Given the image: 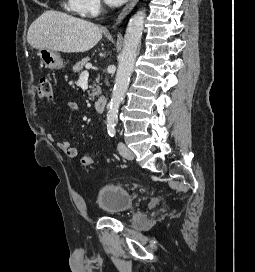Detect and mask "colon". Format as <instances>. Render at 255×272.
<instances>
[{
  "label": "colon",
  "instance_id": "obj_1",
  "mask_svg": "<svg viewBox=\"0 0 255 272\" xmlns=\"http://www.w3.org/2000/svg\"><path fill=\"white\" fill-rule=\"evenodd\" d=\"M38 94L41 98L52 100L53 99V88L50 78L44 77L40 80ZM93 163L92 157L86 155L82 158L81 164L85 167H90Z\"/></svg>",
  "mask_w": 255,
  "mask_h": 272
}]
</instances>
